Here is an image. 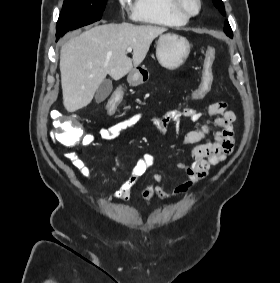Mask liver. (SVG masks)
<instances>
[{"label":"liver","mask_w":280,"mask_h":283,"mask_svg":"<svg viewBox=\"0 0 280 283\" xmlns=\"http://www.w3.org/2000/svg\"><path fill=\"white\" fill-rule=\"evenodd\" d=\"M164 27L129 23L95 26L65 43L60 52L63 104L75 112L91 103L110 75L119 80L145 59L152 41ZM133 49L132 59L127 48Z\"/></svg>","instance_id":"6515ba94"}]
</instances>
